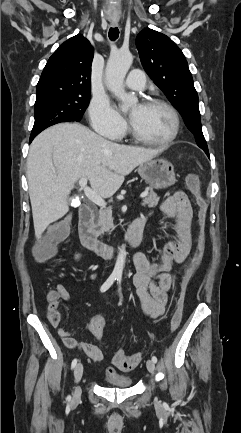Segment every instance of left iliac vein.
I'll return each mask as SVG.
<instances>
[{"label": "left iliac vein", "mask_w": 241, "mask_h": 433, "mask_svg": "<svg viewBox=\"0 0 241 433\" xmlns=\"http://www.w3.org/2000/svg\"><path fill=\"white\" fill-rule=\"evenodd\" d=\"M146 367H147V369H148V371L150 373H154V371H155V364H154V362L152 360H150V359L147 360Z\"/></svg>", "instance_id": "4c4485c4"}]
</instances>
